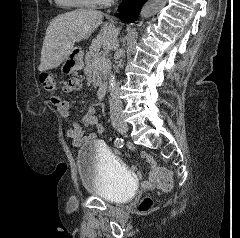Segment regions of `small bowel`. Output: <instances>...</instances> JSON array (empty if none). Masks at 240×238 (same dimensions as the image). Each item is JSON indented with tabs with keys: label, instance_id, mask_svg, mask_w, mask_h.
I'll list each match as a JSON object with an SVG mask.
<instances>
[{
	"label": "small bowel",
	"instance_id": "obj_1",
	"mask_svg": "<svg viewBox=\"0 0 240 238\" xmlns=\"http://www.w3.org/2000/svg\"><path fill=\"white\" fill-rule=\"evenodd\" d=\"M81 85L77 79H70L67 84L64 85L63 91L66 93H71L75 90L80 89ZM52 104L56 107L59 114L68 119L70 116V106L67 100L60 97L54 96L51 98ZM97 102H94L88 113L82 118L81 122H74L72 127L69 128L66 132L67 136L71 139L72 145L75 147L80 146L84 141L94 140L97 138V134L103 133V127L99 123L98 118L95 116V111L97 107ZM87 127H95L97 129V134L92 133L89 136H84V129ZM126 151H135V146H132V143H125ZM110 151H113L114 154H123V149H119L118 146H110ZM141 157L148 163L150 166V173L148 179H141L140 183L142 187H155L154 181V172L156 167L155 160L146 152H141ZM131 169H136V164H131ZM138 175H142L143 171L138 170Z\"/></svg>",
	"mask_w": 240,
	"mask_h": 238
}]
</instances>
